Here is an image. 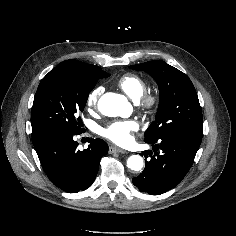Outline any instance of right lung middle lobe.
<instances>
[{
	"label": "right lung middle lobe",
	"instance_id": "obj_1",
	"mask_svg": "<svg viewBox=\"0 0 236 236\" xmlns=\"http://www.w3.org/2000/svg\"><path fill=\"white\" fill-rule=\"evenodd\" d=\"M104 73L101 78L108 77ZM97 80H87L76 72L55 67L40 82L34 97L31 125L32 133L56 131L80 134L87 98Z\"/></svg>",
	"mask_w": 236,
	"mask_h": 236
}]
</instances>
